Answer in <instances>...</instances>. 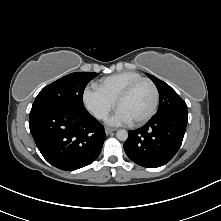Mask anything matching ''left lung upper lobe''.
<instances>
[{
	"label": "left lung upper lobe",
	"mask_w": 221,
	"mask_h": 221,
	"mask_svg": "<svg viewBox=\"0 0 221 221\" xmlns=\"http://www.w3.org/2000/svg\"><path fill=\"white\" fill-rule=\"evenodd\" d=\"M147 76L156 85L160 96L159 108L156 115L153 118H157L165 113L175 110H187L186 103L168 84L148 73Z\"/></svg>",
	"instance_id": "1"
}]
</instances>
